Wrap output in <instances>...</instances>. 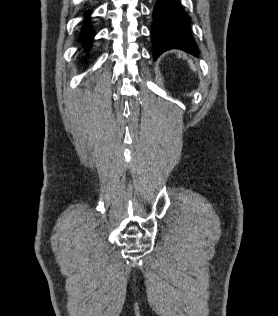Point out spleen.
I'll use <instances>...</instances> for the list:
<instances>
[{
    "mask_svg": "<svg viewBox=\"0 0 278 316\" xmlns=\"http://www.w3.org/2000/svg\"><path fill=\"white\" fill-rule=\"evenodd\" d=\"M179 57H181V54L179 53L178 55ZM185 59H187L189 65H190V68L193 70V71H196V67L195 65L193 64V62L191 60H189L186 56H184Z\"/></svg>",
    "mask_w": 278,
    "mask_h": 316,
    "instance_id": "spleen-1",
    "label": "spleen"
}]
</instances>
